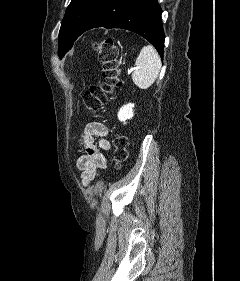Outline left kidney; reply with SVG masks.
<instances>
[{
    "instance_id": "obj_1",
    "label": "left kidney",
    "mask_w": 240,
    "mask_h": 281,
    "mask_svg": "<svg viewBox=\"0 0 240 281\" xmlns=\"http://www.w3.org/2000/svg\"><path fill=\"white\" fill-rule=\"evenodd\" d=\"M133 108H134V104L132 103L122 106L117 114L118 119L124 124H126V121L134 116Z\"/></svg>"
}]
</instances>
